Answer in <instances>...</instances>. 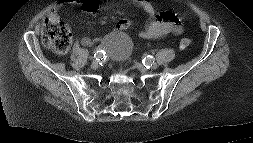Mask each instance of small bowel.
<instances>
[{
    "label": "small bowel",
    "instance_id": "c3829d8e",
    "mask_svg": "<svg viewBox=\"0 0 253 143\" xmlns=\"http://www.w3.org/2000/svg\"><path fill=\"white\" fill-rule=\"evenodd\" d=\"M132 2L148 14L149 20L140 32V37L144 39H153L163 37L169 34L179 35L183 31L182 24L177 14L171 10L156 12L154 5L149 0H132ZM67 4H79L85 13H93L98 8V0H59L58 5L50 10L48 19L58 20V10ZM131 26V21L122 18L118 21L115 32L127 30ZM104 40L103 36L90 38L83 37L80 44L84 47H90L94 43ZM122 57L127 55V50L122 52Z\"/></svg>",
    "mask_w": 253,
    "mask_h": 143
}]
</instances>
